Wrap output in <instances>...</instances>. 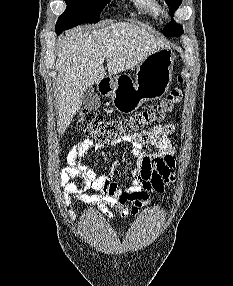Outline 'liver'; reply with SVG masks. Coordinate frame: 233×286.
Returning <instances> with one entry per match:
<instances>
[{
	"mask_svg": "<svg viewBox=\"0 0 233 286\" xmlns=\"http://www.w3.org/2000/svg\"><path fill=\"white\" fill-rule=\"evenodd\" d=\"M168 48L163 40L128 22L97 29L77 27L66 33L57 53L58 132L63 133L82 106L83 91L105 76L138 66L151 53Z\"/></svg>",
	"mask_w": 233,
	"mask_h": 286,
	"instance_id": "obj_1",
	"label": "liver"
}]
</instances>
